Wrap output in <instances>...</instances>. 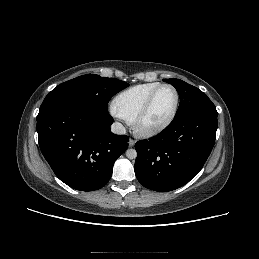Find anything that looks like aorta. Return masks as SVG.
Segmentation results:
<instances>
[{
  "mask_svg": "<svg viewBox=\"0 0 259 259\" xmlns=\"http://www.w3.org/2000/svg\"><path fill=\"white\" fill-rule=\"evenodd\" d=\"M126 156L129 159H135L137 157V152L135 149H128L126 151Z\"/></svg>",
  "mask_w": 259,
  "mask_h": 259,
  "instance_id": "1",
  "label": "aorta"
}]
</instances>
